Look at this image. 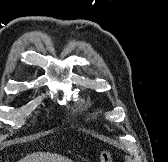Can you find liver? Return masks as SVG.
Wrapping results in <instances>:
<instances>
[{
    "mask_svg": "<svg viewBox=\"0 0 168 162\" xmlns=\"http://www.w3.org/2000/svg\"><path fill=\"white\" fill-rule=\"evenodd\" d=\"M17 162H72L69 158L50 152H36Z\"/></svg>",
    "mask_w": 168,
    "mask_h": 162,
    "instance_id": "obj_1",
    "label": "liver"
}]
</instances>
